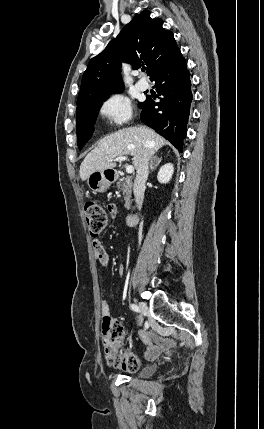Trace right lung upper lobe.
Returning a JSON list of instances; mask_svg holds the SVG:
<instances>
[{
  "label": "right lung upper lobe",
  "mask_w": 264,
  "mask_h": 429,
  "mask_svg": "<svg viewBox=\"0 0 264 429\" xmlns=\"http://www.w3.org/2000/svg\"><path fill=\"white\" fill-rule=\"evenodd\" d=\"M162 25L163 21L152 19L147 10L135 16L100 54L90 60L82 78L77 107L123 89L122 61L132 64L134 69L145 63L151 77L178 51L173 33Z\"/></svg>",
  "instance_id": "cb5924a9"
}]
</instances>
